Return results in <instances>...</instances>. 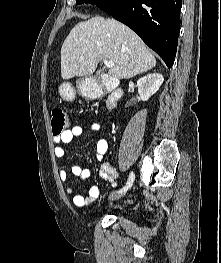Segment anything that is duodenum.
<instances>
[{
  "mask_svg": "<svg viewBox=\"0 0 221 263\" xmlns=\"http://www.w3.org/2000/svg\"><path fill=\"white\" fill-rule=\"evenodd\" d=\"M98 87L99 92H109V95L106 99V108L108 111L113 110L123 96V90L119 87L118 80L104 75L102 76Z\"/></svg>",
  "mask_w": 221,
  "mask_h": 263,
  "instance_id": "obj_1",
  "label": "duodenum"
}]
</instances>
